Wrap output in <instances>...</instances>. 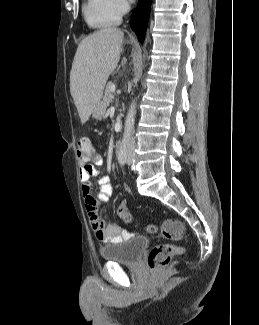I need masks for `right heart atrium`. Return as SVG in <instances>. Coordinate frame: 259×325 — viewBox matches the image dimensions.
I'll return each mask as SVG.
<instances>
[{
    "label": "right heart atrium",
    "mask_w": 259,
    "mask_h": 325,
    "mask_svg": "<svg viewBox=\"0 0 259 325\" xmlns=\"http://www.w3.org/2000/svg\"><path fill=\"white\" fill-rule=\"evenodd\" d=\"M111 9L118 15L122 16L127 12L130 0H109Z\"/></svg>",
    "instance_id": "d8ad5b80"
}]
</instances>
